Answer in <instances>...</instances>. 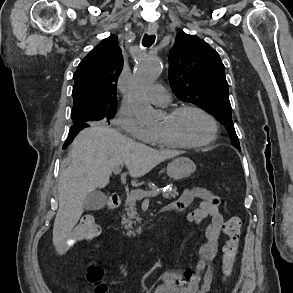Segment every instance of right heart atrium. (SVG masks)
<instances>
[{
	"mask_svg": "<svg viewBox=\"0 0 293 293\" xmlns=\"http://www.w3.org/2000/svg\"><path fill=\"white\" fill-rule=\"evenodd\" d=\"M115 125L118 129L137 140L150 143L154 138V134L144 127L137 118L126 109H121L118 112Z\"/></svg>",
	"mask_w": 293,
	"mask_h": 293,
	"instance_id": "1",
	"label": "right heart atrium"
}]
</instances>
